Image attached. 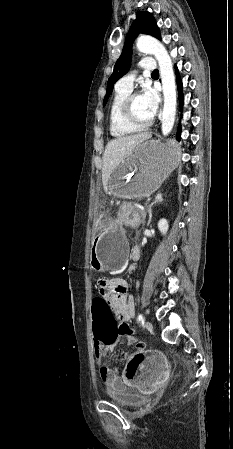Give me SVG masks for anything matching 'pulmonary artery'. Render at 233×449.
<instances>
[{"label":"pulmonary artery","mask_w":233,"mask_h":449,"mask_svg":"<svg viewBox=\"0 0 233 449\" xmlns=\"http://www.w3.org/2000/svg\"><path fill=\"white\" fill-rule=\"evenodd\" d=\"M140 66L145 71H152L155 68V62L152 58H144L141 61ZM134 79H135V73H130V74L124 76L123 78H121L119 80L117 86L132 89Z\"/></svg>","instance_id":"1"}]
</instances>
